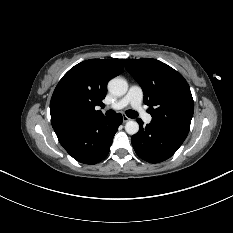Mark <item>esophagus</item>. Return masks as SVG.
<instances>
[{
    "mask_svg": "<svg viewBox=\"0 0 233 233\" xmlns=\"http://www.w3.org/2000/svg\"><path fill=\"white\" fill-rule=\"evenodd\" d=\"M122 120H123L124 123H126V122H128L130 120V118L127 117L126 115H123Z\"/></svg>",
    "mask_w": 233,
    "mask_h": 233,
    "instance_id": "1",
    "label": "esophagus"
}]
</instances>
